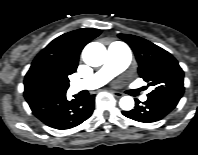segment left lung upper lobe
<instances>
[{
    "label": "left lung upper lobe",
    "instance_id": "obj_1",
    "mask_svg": "<svg viewBox=\"0 0 198 155\" xmlns=\"http://www.w3.org/2000/svg\"><path fill=\"white\" fill-rule=\"evenodd\" d=\"M133 49L139 64L138 73L150 86L147 96L179 99L184 93V73L177 60L159 46L134 35L119 34Z\"/></svg>",
    "mask_w": 198,
    "mask_h": 155
}]
</instances>
